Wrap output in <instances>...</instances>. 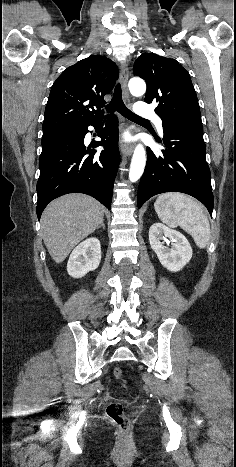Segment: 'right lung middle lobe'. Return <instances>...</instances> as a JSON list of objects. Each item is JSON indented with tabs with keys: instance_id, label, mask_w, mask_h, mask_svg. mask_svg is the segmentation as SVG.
I'll list each match as a JSON object with an SVG mask.
<instances>
[{
	"instance_id": "obj_1",
	"label": "right lung middle lobe",
	"mask_w": 236,
	"mask_h": 467,
	"mask_svg": "<svg viewBox=\"0 0 236 467\" xmlns=\"http://www.w3.org/2000/svg\"><path fill=\"white\" fill-rule=\"evenodd\" d=\"M73 130H75V129H73ZM69 131H72V130L46 132V133H43L42 138L52 137V136L59 135V134L69 132Z\"/></svg>"
}]
</instances>
